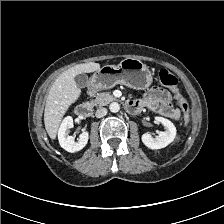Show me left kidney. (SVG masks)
I'll use <instances>...</instances> for the list:
<instances>
[{"label": "left kidney", "instance_id": "obj_1", "mask_svg": "<svg viewBox=\"0 0 224 224\" xmlns=\"http://www.w3.org/2000/svg\"><path fill=\"white\" fill-rule=\"evenodd\" d=\"M157 122H160L165 127V131H160L156 138H152L151 134L145 133L142 135V142L150 149H161L174 141L176 137V127L174 124L163 117H155Z\"/></svg>", "mask_w": 224, "mask_h": 224}]
</instances>
